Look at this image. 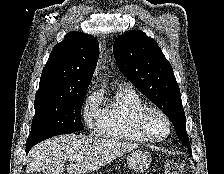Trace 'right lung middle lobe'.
<instances>
[{"instance_id": "right-lung-middle-lobe-1", "label": "right lung middle lobe", "mask_w": 224, "mask_h": 174, "mask_svg": "<svg viewBox=\"0 0 224 174\" xmlns=\"http://www.w3.org/2000/svg\"><path fill=\"white\" fill-rule=\"evenodd\" d=\"M84 95L65 98H35V116L27 146H34L56 135L83 130L80 114Z\"/></svg>"}]
</instances>
